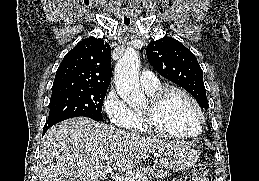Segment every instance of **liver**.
I'll return each mask as SVG.
<instances>
[{
  "mask_svg": "<svg viewBox=\"0 0 259 181\" xmlns=\"http://www.w3.org/2000/svg\"><path fill=\"white\" fill-rule=\"evenodd\" d=\"M173 143L85 117L71 118L51 127L44 135L39 181H100L111 168L120 172L131 170Z\"/></svg>",
  "mask_w": 259,
  "mask_h": 181,
  "instance_id": "obj_1",
  "label": "liver"
}]
</instances>
